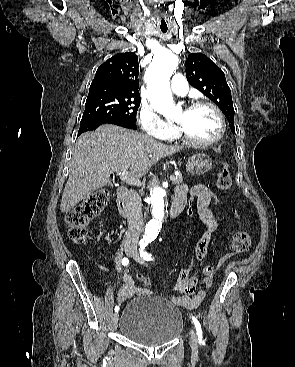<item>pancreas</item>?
<instances>
[{
    "instance_id": "cf45deb5",
    "label": "pancreas",
    "mask_w": 295,
    "mask_h": 367,
    "mask_svg": "<svg viewBox=\"0 0 295 367\" xmlns=\"http://www.w3.org/2000/svg\"><path fill=\"white\" fill-rule=\"evenodd\" d=\"M183 182V177L181 174L174 176V179L172 180L173 185H179Z\"/></svg>"
}]
</instances>
